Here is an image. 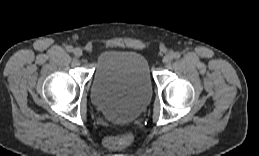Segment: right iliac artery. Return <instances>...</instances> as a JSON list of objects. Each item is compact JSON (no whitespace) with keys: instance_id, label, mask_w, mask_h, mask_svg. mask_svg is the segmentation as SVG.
Here are the masks:
<instances>
[{"instance_id":"82829eb1","label":"right iliac artery","mask_w":259,"mask_h":156,"mask_svg":"<svg viewBox=\"0 0 259 156\" xmlns=\"http://www.w3.org/2000/svg\"><path fill=\"white\" fill-rule=\"evenodd\" d=\"M66 50H67L68 52H72V51H73V47L69 45V46L66 47Z\"/></svg>"}]
</instances>
